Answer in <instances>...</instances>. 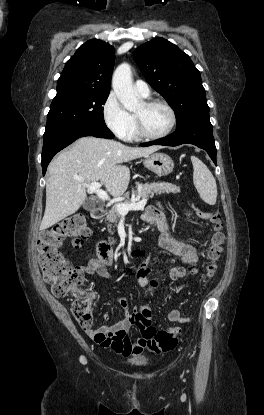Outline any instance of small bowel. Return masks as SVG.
<instances>
[{
    "label": "small bowel",
    "instance_id": "obj_1",
    "mask_svg": "<svg viewBox=\"0 0 264 415\" xmlns=\"http://www.w3.org/2000/svg\"><path fill=\"white\" fill-rule=\"evenodd\" d=\"M141 218L143 222L157 226L160 231L159 244L163 249L180 256L191 266L197 263L198 255L195 247L169 231L165 214L159 204L157 206L147 207L142 213ZM152 259V253H148L135 267L138 285L144 290H149L154 287V280L152 278L154 269L151 267ZM166 263L171 265L174 263V259L168 258L166 259ZM84 269L87 273H97L104 278H112L114 276L111 270L97 260H91ZM117 301L125 312L124 317L112 325L103 324L94 329H86V333L100 347L113 349L125 356L140 358L145 342L141 339L132 342L127 337V332L132 326L140 307L134 306L131 310L128 302L121 296L117 297ZM175 315H178V312L175 310L171 311L169 315L170 320L181 321L180 319H176L174 317ZM109 316L108 313L104 314L105 319H108Z\"/></svg>",
    "mask_w": 264,
    "mask_h": 415
}]
</instances>
